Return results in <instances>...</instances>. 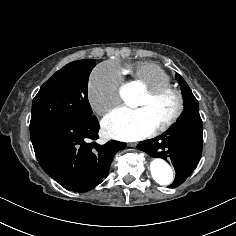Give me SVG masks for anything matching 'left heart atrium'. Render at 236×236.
Wrapping results in <instances>:
<instances>
[{
  "label": "left heart atrium",
  "instance_id": "obj_1",
  "mask_svg": "<svg viewBox=\"0 0 236 236\" xmlns=\"http://www.w3.org/2000/svg\"><path fill=\"white\" fill-rule=\"evenodd\" d=\"M101 126L108 137L122 141L140 140L154 130L146 110L127 107L116 108L107 113Z\"/></svg>",
  "mask_w": 236,
  "mask_h": 236
}]
</instances>
